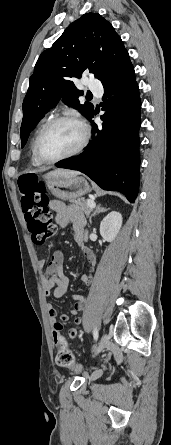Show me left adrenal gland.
<instances>
[{
    "label": "left adrenal gland",
    "mask_w": 171,
    "mask_h": 445,
    "mask_svg": "<svg viewBox=\"0 0 171 445\" xmlns=\"http://www.w3.org/2000/svg\"><path fill=\"white\" fill-rule=\"evenodd\" d=\"M105 211H106V209H105V208H102V207L100 206V204L97 205L96 208H95V211H94V212L90 215V217H89V222L92 223V217H93V216H95L96 214H98V213H100V212H105Z\"/></svg>",
    "instance_id": "left-adrenal-gland-1"
}]
</instances>
